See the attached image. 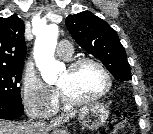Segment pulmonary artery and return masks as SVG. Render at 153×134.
Listing matches in <instances>:
<instances>
[{"instance_id": "obj_1", "label": "pulmonary artery", "mask_w": 153, "mask_h": 134, "mask_svg": "<svg viewBox=\"0 0 153 134\" xmlns=\"http://www.w3.org/2000/svg\"><path fill=\"white\" fill-rule=\"evenodd\" d=\"M56 53L60 58L69 60L73 54L72 44L66 40L60 41L58 43Z\"/></svg>"}]
</instances>
